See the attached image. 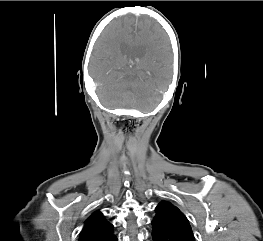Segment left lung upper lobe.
Listing matches in <instances>:
<instances>
[{
    "instance_id": "1",
    "label": "left lung upper lobe",
    "mask_w": 263,
    "mask_h": 241,
    "mask_svg": "<svg viewBox=\"0 0 263 241\" xmlns=\"http://www.w3.org/2000/svg\"><path fill=\"white\" fill-rule=\"evenodd\" d=\"M156 215L153 220H156L174 231L194 240V235L188 219L185 215L174 205L169 202H160L156 209Z\"/></svg>"
}]
</instances>
